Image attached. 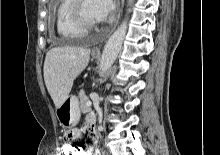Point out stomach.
Listing matches in <instances>:
<instances>
[{
  "label": "stomach",
  "mask_w": 220,
  "mask_h": 155,
  "mask_svg": "<svg viewBox=\"0 0 220 155\" xmlns=\"http://www.w3.org/2000/svg\"><path fill=\"white\" fill-rule=\"evenodd\" d=\"M56 116L60 125L75 126L80 119V108L75 96H68L62 105L56 110Z\"/></svg>",
  "instance_id": "1"
}]
</instances>
